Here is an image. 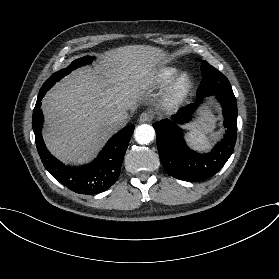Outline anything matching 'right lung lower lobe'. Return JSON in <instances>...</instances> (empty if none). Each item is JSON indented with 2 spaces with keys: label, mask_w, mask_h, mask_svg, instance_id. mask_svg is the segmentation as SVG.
I'll return each mask as SVG.
<instances>
[{
  "label": "right lung lower lobe",
  "mask_w": 279,
  "mask_h": 279,
  "mask_svg": "<svg viewBox=\"0 0 279 279\" xmlns=\"http://www.w3.org/2000/svg\"><path fill=\"white\" fill-rule=\"evenodd\" d=\"M46 91V88L40 89L32 116L36 147L43 165L57 181L76 193L92 195L107 190L119 177L135 126H126L115 134L90 164L80 167L65 166L51 155L41 135L43 116L40 106Z\"/></svg>",
  "instance_id": "1"
}]
</instances>
